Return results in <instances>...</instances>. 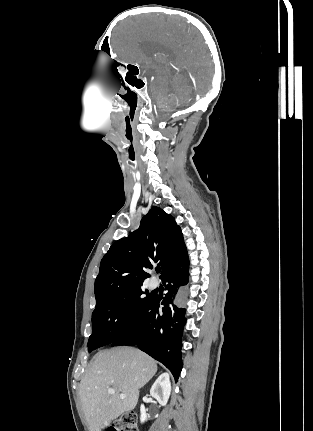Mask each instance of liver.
Instances as JSON below:
<instances>
[{
    "label": "liver",
    "instance_id": "6515ba94",
    "mask_svg": "<svg viewBox=\"0 0 313 431\" xmlns=\"http://www.w3.org/2000/svg\"><path fill=\"white\" fill-rule=\"evenodd\" d=\"M157 372L154 359L129 347L98 352L79 384V396L89 431H101L138 402L139 389ZM115 390L114 394L107 392ZM120 394H124L122 399Z\"/></svg>",
    "mask_w": 313,
    "mask_h": 431
}]
</instances>
